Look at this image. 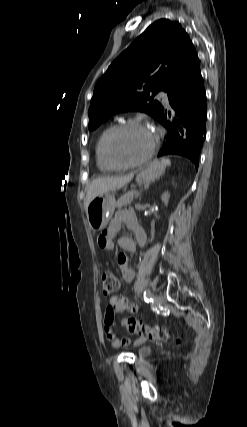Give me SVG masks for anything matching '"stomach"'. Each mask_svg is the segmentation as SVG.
Returning a JSON list of instances; mask_svg holds the SVG:
<instances>
[{"label": "stomach", "instance_id": "1", "mask_svg": "<svg viewBox=\"0 0 247 427\" xmlns=\"http://www.w3.org/2000/svg\"><path fill=\"white\" fill-rule=\"evenodd\" d=\"M165 167L159 162H154L145 170H142L137 175V182L139 184H148L161 176ZM116 202L114 194L104 192L96 196L88 205L86 209L87 219L90 228L93 231H99L106 227L112 214L115 210Z\"/></svg>", "mask_w": 247, "mask_h": 427}]
</instances>
